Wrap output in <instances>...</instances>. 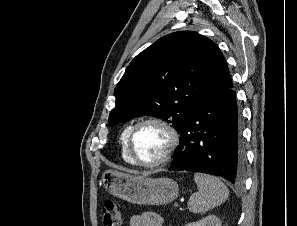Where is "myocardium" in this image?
I'll return each mask as SVG.
<instances>
[{"mask_svg": "<svg viewBox=\"0 0 297 226\" xmlns=\"http://www.w3.org/2000/svg\"><path fill=\"white\" fill-rule=\"evenodd\" d=\"M147 124H153V125L159 126L168 135V142L163 154L161 155V157H159L158 159L152 162H143L139 160L133 150V139L136 131L141 126H144ZM179 141H180V135L177 129L169 121L161 117H147L137 121L135 124L131 126L126 139V147H127V152L129 154V157L131 158L132 162L135 165L143 168L151 169V168L160 167L168 163L171 157L173 156L175 150L177 149L179 145Z\"/></svg>", "mask_w": 297, "mask_h": 226, "instance_id": "1", "label": "myocardium"}]
</instances>
